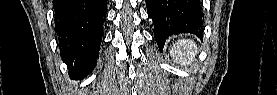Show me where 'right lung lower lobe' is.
I'll use <instances>...</instances> for the list:
<instances>
[{
  "label": "right lung lower lobe",
  "instance_id": "1",
  "mask_svg": "<svg viewBox=\"0 0 277 95\" xmlns=\"http://www.w3.org/2000/svg\"><path fill=\"white\" fill-rule=\"evenodd\" d=\"M107 0H54L60 55L70 77L82 79L96 66Z\"/></svg>",
  "mask_w": 277,
  "mask_h": 95
}]
</instances>
